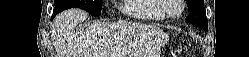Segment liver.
<instances>
[{
    "label": "liver",
    "instance_id": "liver-1",
    "mask_svg": "<svg viewBox=\"0 0 249 57\" xmlns=\"http://www.w3.org/2000/svg\"><path fill=\"white\" fill-rule=\"evenodd\" d=\"M87 19L84 10L61 12L53 23L52 35L59 57H160L164 33L154 26L121 21L93 22L75 31Z\"/></svg>",
    "mask_w": 249,
    "mask_h": 57
}]
</instances>
